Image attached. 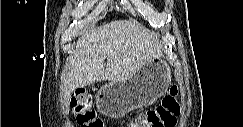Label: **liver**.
I'll use <instances>...</instances> for the list:
<instances>
[{"mask_svg": "<svg viewBox=\"0 0 243 127\" xmlns=\"http://www.w3.org/2000/svg\"><path fill=\"white\" fill-rule=\"evenodd\" d=\"M161 56L154 36L133 22L117 20L92 28L78 38L66 65L62 88L64 103L68 104L77 88L99 81L125 80L147 62Z\"/></svg>", "mask_w": 243, "mask_h": 127, "instance_id": "1", "label": "liver"}]
</instances>
